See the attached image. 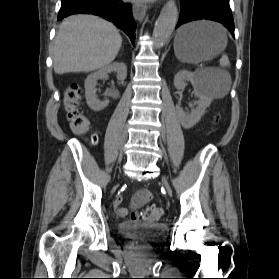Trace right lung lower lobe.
Listing matches in <instances>:
<instances>
[{"label":"right lung lower lobe","mask_w":279,"mask_h":279,"mask_svg":"<svg viewBox=\"0 0 279 279\" xmlns=\"http://www.w3.org/2000/svg\"><path fill=\"white\" fill-rule=\"evenodd\" d=\"M87 13L101 16L122 29L135 43V27L131 4L122 0H62L58 20L71 14Z\"/></svg>","instance_id":"right-lung-lower-lobe-1"}]
</instances>
